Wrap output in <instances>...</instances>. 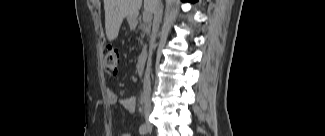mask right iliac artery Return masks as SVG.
<instances>
[{"mask_svg": "<svg viewBox=\"0 0 325 136\" xmlns=\"http://www.w3.org/2000/svg\"><path fill=\"white\" fill-rule=\"evenodd\" d=\"M139 132H140L141 135H144V134L147 133V126H146V124H142V125L140 126V128H139Z\"/></svg>", "mask_w": 325, "mask_h": 136, "instance_id": "1", "label": "right iliac artery"}]
</instances>
